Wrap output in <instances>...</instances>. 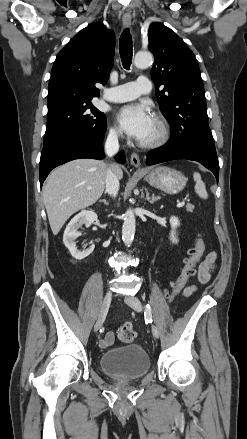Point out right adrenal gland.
<instances>
[{"label": "right adrenal gland", "mask_w": 247, "mask_h": 439, "mask_svg": "<svg viewBox=\"0 0 247 439\" xmlns=\"http://www.w3.org/2000/svg\"><path fill=\"white\" fill-rule=\"evenodd\" d=\"M99 202H103L105 205H108V204H109V202L106 201L105 199H103V200H99Z\"/></svg>", "instance_id": "1"}]
</instances>
